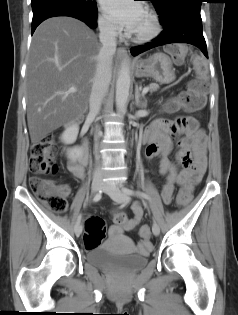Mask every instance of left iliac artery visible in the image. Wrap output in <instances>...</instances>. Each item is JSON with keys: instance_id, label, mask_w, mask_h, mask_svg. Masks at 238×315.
I'll use <instances>...</instances> for the list:
<instances>
[{"instance_id": "left-iliac-artery-1", "label": "left iliac artery", "mask_w": 238, "mask_h": 315, "mask_svg": "<svg viewBox=\"0 0 238 315\" xmlns=\"http://www.w3.org/2000/svg\"><path fill=\"white\" fill-rule=\"evenodd\" d=\"M122 191L124 193H126L127 195L142 197L144 199L150 200V197L146 193L141 192V191H136V190L129 189V188H126V187H123Z\"/></svg>"}]
</instances>
